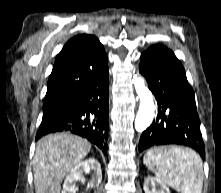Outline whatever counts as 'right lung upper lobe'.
<instances>
[{
	"label": "right lung upper lobe",
	"mask_w": 221,
	"mask_h": 193,
	"mask_svg": "<svg viewBox=\"0 0 221 193\" xmlns=\"http://www.w3.org/2000/svg\"><path fill=\"white\" fill-rule=\"evenodd\" d=\"M106 61L104 47L95 36L71 38L55 60L44 102L71 99Z\"/></svg>",
	"instance_id": "cb5924a9"
}]
</instances>
